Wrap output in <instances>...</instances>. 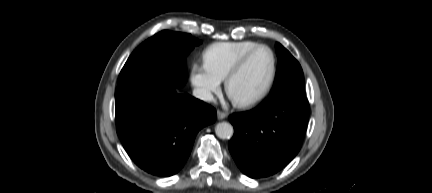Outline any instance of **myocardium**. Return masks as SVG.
I'll list each match as a JSON object with an SVG mask.
<instances>
[{"mask_svg": "<svg viewBox=\"0 0 432 193\" xmlns=\"http://www.w3.org/2000/svg\"><path fill=\"white\" fill-rule=\"evenodd\" d=\"M260 49H267L271 56H272V69H271V73L268 79V82L266 84V86L264 87V89L256 96L249 98V99H245V100H236L233 99L231 94H230V84L231 81L233 80V78L243 69V67L246 65V63L248 62V60L250 59V57L257 52ZM276 74H277V56L275 51L273 50L272 47H270L269 45L266 44H258L257 46L253 47L252 49H250L248 52H246L233 66L232 68L229 70V72L227 73L225 79H224V86H225V91L226 94L228 95V97L231 99V101L233 102V104L238 107V108H250L252 106L257 105L258 103H260L262 100H264L267 95L270 93L275 78H276Z\"/></svg>", "mask_w": 432, "mask_h": 193, "instance_id": "myocardium-1", "label": "myocardium"}]
</instances>
